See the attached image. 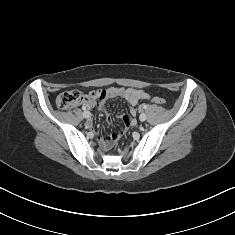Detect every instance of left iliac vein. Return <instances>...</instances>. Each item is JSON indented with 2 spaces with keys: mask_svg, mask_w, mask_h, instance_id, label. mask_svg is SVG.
I'll use <instances>...</instances> for the list:
<instances>
[{
  "mask_svg": "<svg viewBox=\"0 0 235 235\" xmlns=\"http://www.w3.org/2000/svg\"><path fill=\"white\" fill-rule=\"evenodd\" d=\"M139 118H140L141 121H145L146 120V114L142 113Z\"/></svg>",
  "mask_w": 235,
  "mask_h": 235,
  "instance_id": "obj_1",
  "label": "left iliac vein"
}]
</instances>
